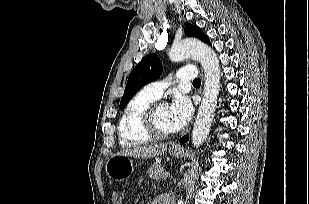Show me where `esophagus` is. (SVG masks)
<instances>
[{
    "label": "esophagus",
    "mask_w": 309,
    "mask_h": 204,
    "mask_svg": "<svg viewBox=\"0 0 309 204\" xmlns=\"http://www.w3.org/2000/svg\"><path fill=\"white\" fill-rule=\"evenodd\" d=\"M202 79H203V75H202ZM174 147H175V148H179V146H178V145H175Z\"/></svg>",
    "instance_id": "1"
}]
</instances>
